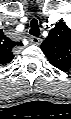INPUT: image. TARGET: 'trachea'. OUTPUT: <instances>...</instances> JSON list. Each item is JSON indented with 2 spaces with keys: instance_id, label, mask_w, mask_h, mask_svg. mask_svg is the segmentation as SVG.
Listing matches in <instances>:
<instances>
[{
  "instance_id": "obj_1",
  "label": "trachea",
  "mask_w": 71,
  "mask_h": 119,
  "mask_svg": "<svg viewBox=\"0 0 71 119\" xmlns=\"http://www.w3.org/2000/svg\"><path fill=\"white\" fill-rule=\"evenodd\" d=\"M29 33L36 37H39V35H40V29L38 26V21L36 19H32L31 29L29 30Z\"/></svg>"
}]
</instances>
